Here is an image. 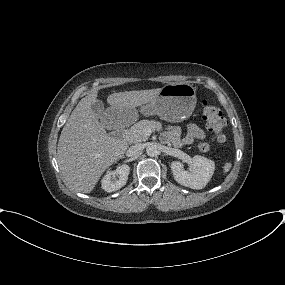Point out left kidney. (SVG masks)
Returning <instances> with one entry per match:
<instances>
[{"instance_id": "obj_1", "label": "left kidney", "mask_w": 285, "mask_h": 285, "mask_svg": "<svg viewBox=\"0 0 285 285\" xmlns=\"http://www.w3.org/2000/svg\"><path fill=\"white\" fill-rule=\"evenodd\" d=\"M191 165L192 170L189 172L184 169L181 162L173 161L171 170L174 179L180 185L200 190L210 181L215 170V164L212 160L196 155L191 159Z\"/></svg>"}]
</instances>
